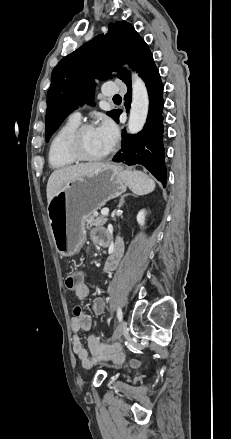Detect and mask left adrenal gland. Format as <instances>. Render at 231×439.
Segmentation results:
<instances>
[{"label":"left adrenal gland","instance_id":"obj_1","mask_svg":"<svg viewBox=\"0 0 231 439\" xmlns=\"http://www.w3.org/2000/svg\"><path fill=\"white\" fill-rule=\"evenodd\" d=\"M128 194H125V195H123L122 197H121V199H120V202H119V207H122L123 206V204H124V198H125V196H127Z\"/></svg>","mask_w":231,"mask_h":439}]
</instances>
